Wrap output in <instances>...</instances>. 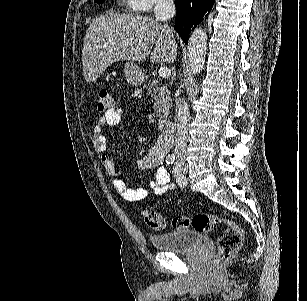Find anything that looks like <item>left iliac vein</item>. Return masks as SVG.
<instances>
[{"label":"left iliac vein","instance_id":"1","mask_svg":"<svg viewBox=\"0 0 307 301\" xmlns=\"http://www.w3.org/2000/svg\"><path fill=\"white\" fill-rule=\"evenodd\" d=\"M181 171H182L184 174L187 173V171H188L187 164L184 163V164L182 165Z\"/></svg>","mask_w":307,"mask_h":301}]
</instances>
